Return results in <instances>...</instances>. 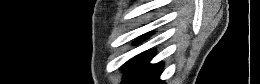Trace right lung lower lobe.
<instances>
[{
    "label": "right lung lower lobe",
    "mask_w": 260,
    "mask_h": 84,
    "mask_svg": "<svg viewBox=\"0 0 260 84\" xmlns=\"http://www.w3.org/2000/svg\"><path fill=\"white\" fill-rule=\"evenodd\" d=\"M162 70L163 65L161 63L152 65L141 75V77L131 84H163V82L159 80Z\"/></svg>",
    "instance_id": "1"
}]
</instances>
